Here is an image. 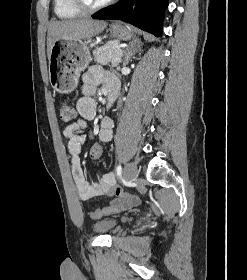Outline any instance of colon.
I'll use <instances>...</instances> for the list:
<instances>
[{
  "label": "colon",
  "instance_id": "1",
  "mask_svg": "<svg viewBox=\"0 0 247 280\" xmlns=\"http://www.w3.org/2000/svg\"><path fill=\"white\" fill-rule=\"evenodd\" d=\"M59 117L63 122H69L75 118V110L72 105L66 101L59 104ZM105 141L103 139H96L90 148V157L98 159L105 154Z\"/></svg>",
  "mask_w": 247,
  "mask_h": 280
}]
</instances>
